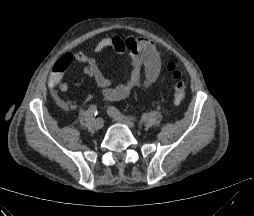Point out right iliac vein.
<instances>
[{"mask_svg":"<svg viewBox=\"0 0 254 216\" xmlns=\"http://www.w3.org/2000/svg\"><path fill=\"white\" fill-rule=\"evenodd\" d=\"M93 125L95 129L99 130L104 126V121L102 118H97L94 120Z\"/></svg>","mask_w":254,"mask_h":216,"instance_id":"63e3f726","label":"right iliac vein"}]
</instances>
